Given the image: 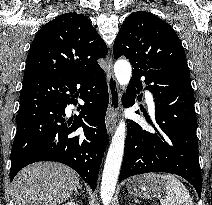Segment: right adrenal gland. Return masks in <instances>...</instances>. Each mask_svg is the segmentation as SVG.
Returning a JSON list of instances; mask_svg holds the SVG:
<instances>
[{
    "mask_svg": "<svg viewBox=\"0 0 212 205\" xmlns=\"http://www.w3.org/2000/svg\"><path fill=\"white\" fill-rule=\"evenodd\" d=\"M77 189H80V190H82V186L79 184V181H77V186H76V188H75V193L77 192Z\"/></svg>",
    "mask_w": 212,
    "mask_h": 205,
    "instance_id": "right-adrenal-gland-1",
    "label": "right adrenal gland"
}]
</instances>
